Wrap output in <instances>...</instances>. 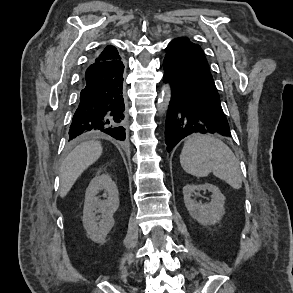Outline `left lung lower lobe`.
Listing matches in <instances>:
<instances>
[{"instance_id":"1","label":"left lung lower lobe","mask_w":293,"mask_h":293,"mask_svg":"<svg viewBox=\"0 0 293 293\" xmlns=\"http://www.w3.org/2000/svg\"><path fill=\"white\" fill-rule=\"evenodd\" d=\"M163 68V81L171 86L165 128L167 151L193 133L231 136L216 86L208 83L190 64L181 42L169 43Z\"/></svg>"}]
</instances>
